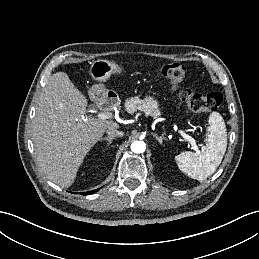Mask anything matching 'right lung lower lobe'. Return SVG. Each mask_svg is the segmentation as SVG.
<instances>
[{
	"label": "right lung lower lobe",
	"mask_w": 259,
	"mask_h": 259,
	"mask_svg": "<svg viewBox=\"0 0 259 259\" xmlns=\"http://www.w3.org/2000/svg\"><path fill=\"white\" fill-rule=\"evenodd\" d=\"M99 189H96V190H93V191H89V192H85V193H83L84 195H89V194H92V193H94V192H96V191H98Z\"/></svg>",
	"instance_id": "98d812e1"
}]
</instances>
